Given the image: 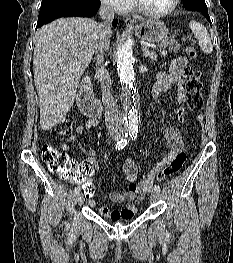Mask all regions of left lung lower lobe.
<instances>
[{
    "label": "left lung lower lobe",
    "instance_id": "1",
    "mask_svg": "<svg viewBox=\"0 0 233 263\" xmlns=\"http://www.w3.org/2000/svg\"><path fill=\"white\" fill-rule=\"evenodd\" d=\"M206 18L207 20L211 23V20H210V17H209V14H208V11L205 10V11H200Z\"/></svg>",
    "mask_w": 233,
    "mask_h": 263
}]
</instances>
